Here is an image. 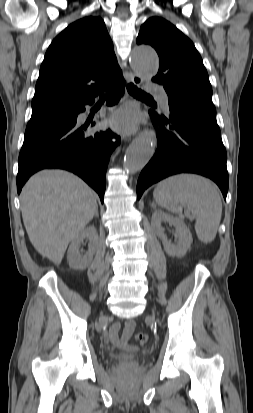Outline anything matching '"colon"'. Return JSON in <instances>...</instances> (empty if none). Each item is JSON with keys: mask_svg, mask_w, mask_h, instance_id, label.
Segmentation results:
<instances>
[{"mask_svg": "<svg viewBox=\"0 0 253 413\" xmlns=\"http://www.w3.org/2000/svg\"><path fill=\"white\" fill-rule=\"evenodd\" d=\"M135 339L139 344H145L148 341V335L143 332H139L135 335Z\"/></svg>", "mask_w": 253, "mask_h": 413, "instance_id": "obj_1", "label": "colon"}]
</instances>
